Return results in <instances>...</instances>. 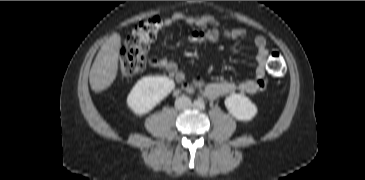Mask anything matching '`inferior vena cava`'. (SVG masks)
Returning <instances> with one entry per match:
<instances>
[{"mask_svg": "<svg viewBox=\"0 0 365 180\" xmlns=\"http://www.w3.org/2000/svg\"><path fill=\"white\" fill-rule=\"evenodd\" d=\"M192 106V102L190 100V98L186 97V96H181L179 98L176 99L175 101V107L178 110H185V109H189Z\"/></svg>", "mask_w": 365, "mask_h": 180, "instance_id": "inferior-vena-cava-1", "label": "inferior vena cava"}]
</instances>
